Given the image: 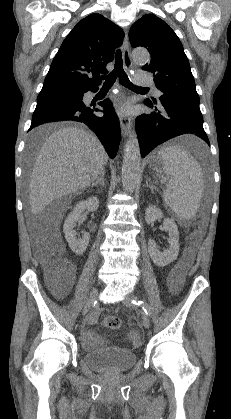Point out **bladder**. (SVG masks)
I'll list each match as a JSON object with an SVG mask.
<instances>
[{
	"mask_svg": "<svg viewBox=\"0 0 231 419\" xmlns=\"http://www.w3.org/2000/svg\"><path fill=\"white\" fill-rule=\"evenodd\" d=\"M85 365L101 373H122L132 368L138 361L135 352L122 347L112 346L85 353Z\"/></svg>",
	"mask_w": 231,
	"mask_h": 419,
	"instance_id": "obj_1",
	"label": "bladder"
}]
</instances>
